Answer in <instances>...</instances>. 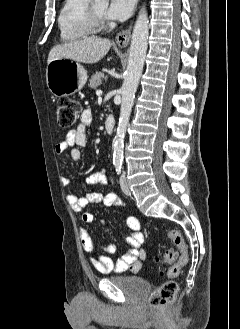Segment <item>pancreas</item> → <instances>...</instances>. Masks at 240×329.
<instances>
[{
    "mask_svg": "<svg viewBox=\"0 0 240 329\" xmlns=\"http://www.w3.org/2000/svg\"><path fill=\"white\" fill-rule=\"evenodd\" d=\"M104 78V74L101 72H96L92 75L89 79V87L96 89L101 83L102 79Z\"/></svg>",
    "mask_w": 240,
    "mask_h": 329,
    "instance_id": "obj_1",
    "label": "pancreas"
}]
</instances>
